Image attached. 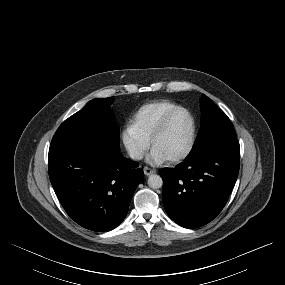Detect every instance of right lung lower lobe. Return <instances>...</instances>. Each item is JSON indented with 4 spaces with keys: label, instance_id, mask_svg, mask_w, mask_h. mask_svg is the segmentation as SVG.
Wrapping results in <instances>:
<instances>
[{
    "label": "right lung lower lobe",
    "instance_id": "1",
    "mask_svg": "<svg viewBox=\"0 0 285 285\" xmlns=\"http://www.w3.org/2000/svg\"><path fill=\"white\" fill-rule=\"evenodd\" d=\"M49 177L67 214L80 226L107 232L126 217L143 179L138 163L91 144L49 149Z\"/></svg>",
    "mask_w": 285,
    "mask_h": 285
}]
</instances>
